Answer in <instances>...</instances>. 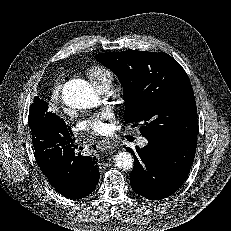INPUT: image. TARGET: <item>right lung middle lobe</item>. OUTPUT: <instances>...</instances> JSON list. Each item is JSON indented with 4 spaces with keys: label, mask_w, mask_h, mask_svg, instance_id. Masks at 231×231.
I'll return each instance as SVG.
<instances>
[{
    "label": "right lung middle lobe",
    "mask_w": 231,
    "mask_h": 231,
    "mask_svg": "<svg viewBox=\"0 0 231 231\" xmlns=\"http://www.w3.org/2000/svg\"><path fill=\"white\" fill-rule=\"evenodd\" d=\"M44 104L43 100H40L38 97H35L34 103L30 107L29 111V126L35 122L36 114L39 112V108H42V105Z\"/></svg>",
    "instance_id": "1"
}]
</instances>
